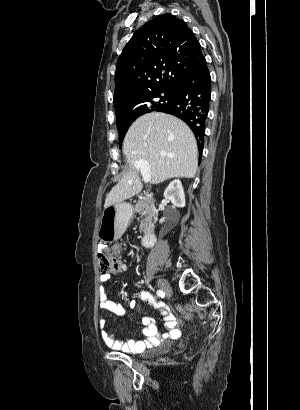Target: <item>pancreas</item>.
<instances>
[{
    "label": "pancreas",
    "instance_id": "obj_1",
    "mask_svg": "<svg viewBox=\"0 0 300 410\" xmlns=\"http://www.w3.org/2000/svg\"><path fill=\"white\" fill-rule=\"evenodd\" d=\"M134 210L138 212L142 218L139 228L140 232L144 234L152 232L154 229V224L152 222L154 210L150 202L146 198L138 200Z\"/></svg>",
    "mask_w": 300,
    "mask_h": 410
}]
</instances>
